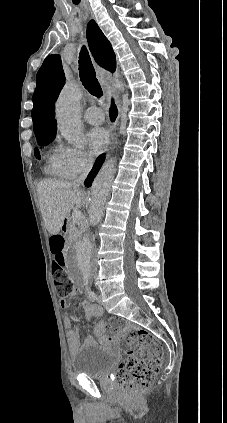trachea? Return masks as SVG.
Here are the masks:
<instances>
[{"instance_id": "trachea-1", "label": "trachea", "mask_w": 227, "mask_h": 423, "mask_svg": "<svg viewBox=\"0 0 227 423\" xmlns=\"http://www.w3.org/2000/svg\"><path fill=\"white\" fill-rule=\"evenodd\" d=\"M79 76L82 84L91 95L97 98L102 97V88L96 78V72L86 47H82L79 55Z\"/></svg>"}]
</instances>
